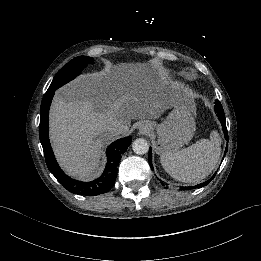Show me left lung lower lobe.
<instances>
[{"label":"left lung lower lobe","mask_w":261,"mask_h":261,"mask_svg":"<svg viewBox=\"0 0 261 261\" xmlns=\"http://www.w3.org/2000/svg\"><path fill=\"white\" fill-rule=\"evenodd\" d=\"M215 112L222 124V129L225 135L226 140H228V133H227V128H226V121H225V114H224V110L222 108V105L220 103L219 100L215 101ZM228 147L225 150V153L227 152ZM149 164L151 169H153V165H152V152H151V148L149 149ZM216 173L206 182H203L201 184H198L195 186V188H201L203 186H206L207 184H209V182L215 177ZM192 188V187H187V189Z\"/></svg>","instance_id":"0a47b994"}]
</instances>
